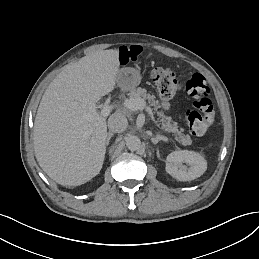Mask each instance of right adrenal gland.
<instances>
[{
  "label": "right adrenal gland",
  "instance_id": "1",
  "mask_svg": "<svg viewBox=\"0 0 259 259\" xmlns=\"http://www.w3.org/2000/svg\"><path fill=\"white\" fill-rule=\"evenodd\" d=\"M114 136V134L112 133H107V140H106V147L109 146V142L111 140V138Z\"/></svg>",
  "mask_w": 259,
  "mask_h": 259
}]
</instances>
